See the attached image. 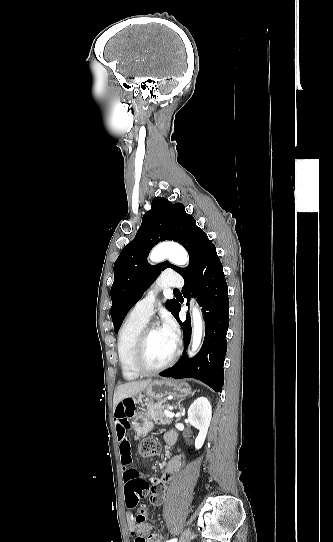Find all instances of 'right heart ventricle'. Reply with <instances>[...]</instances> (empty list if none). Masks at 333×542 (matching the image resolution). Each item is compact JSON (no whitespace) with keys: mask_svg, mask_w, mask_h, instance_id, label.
Returning <instances> with one entry per match:
<instances>
[{"mask_svg":"<svg viewBox=\"0 0 333 542\" xmlns=\"http://www.w3.org/2000/svg\"><path fill=\"white\" fill-rule=\"evenodd\" d=\"M147 320L128 317L122 325L117 342L118 358L121 373L127 380H135L140 377L132 365V352L136 339Z\"/></svg>","mask_w":333,"mask_h":542,"instance_id":"1","label":"right heart ventricle"}]
</instances>
